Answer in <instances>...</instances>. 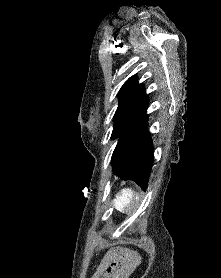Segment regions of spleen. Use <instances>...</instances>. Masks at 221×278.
<instances>
[{
  "label": "spleen",
  "mask_w": 221,
  "mask_h": 278,
  "mask_svg": "<svg viewBox=\"0 0 221 278\" xmlns=\"http://www.w3.org/2000/svg\"><path fill=\"white\" fill-rule=\"evenodd\" d=\"M135 197L134 192L130 188L122 189L119 194L116 195V198L113 200L114 207L120 211H125L126 207L132 203Z\"/></svg>",
  "instance_id": "1"
}]
</instances>
